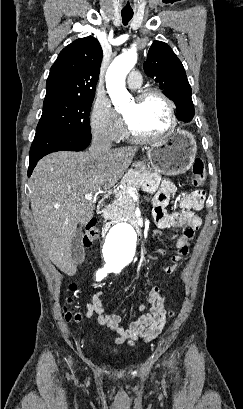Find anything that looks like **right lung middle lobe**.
I'll return each instance as SVG.
<instances>
[{
    "mask_svg": "<svg viewBox=\"0 0 243 409\" xmlns=\"http://www.w3.org/2000/svg\"><path fill=\"white\" fill-rule=\"evenodd\" d=\"M93 97L44 101L37 131L90 135Z\"/></svg>",
    "mask_w": 243,
    "mask_h": 409,
    "instance_id": "1",
    "label": "right lung middle lobe"
}]
</instances>
